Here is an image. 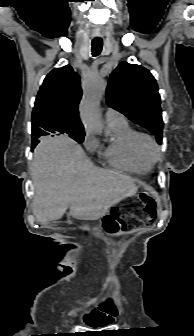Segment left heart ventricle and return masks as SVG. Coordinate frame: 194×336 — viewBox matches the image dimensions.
<instances>
[{
  "label": "left heart ventricle",
  "instance_id": "obj_1",
  "mask_svg": "<svg viewBox=\"0 0 194 336\" xmlns=\"http://www.w3.org/2000/svg\"><path fill=\"white\" fill-rule=\"evenodd\" d=\"M144 152L147 156L151 154V146L149 144L144 145Z\"/></svg>",
  "mask_w": 194,
  "mask_h": 336
}]
</instances>
